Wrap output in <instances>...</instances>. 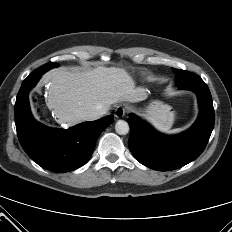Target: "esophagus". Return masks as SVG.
Masks as SVG:
<instances>
[{"label":"esophagus","mask_w":232,"mask_h":232,"mask_svg":"<svg viewBox=\"0 0 232 232\" xmlns=\"http://www.w3.org/2000/svg\"><path fill=\"white\" fill-rule=\"evenodd\" d=\"M126 113H127V108L122 105H119L116 107L114 115L116 118H121L124 117Z\"/></svg>","instance_id":"34e87169"}]
</instances>
